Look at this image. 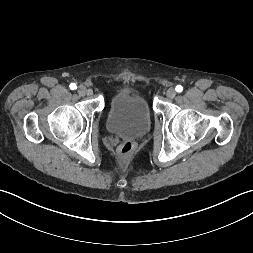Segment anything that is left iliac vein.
<instances>
[{
    "label": "left iliac vein",
    "instance_id": "1",
    "mask_svg": "<svg viewBox=\"0 0 253 253\" xmlns=\"http://www.w3.org/2000/svg\"><path fill=\"white\" fill-rule=\"evenodd\" d=\"M166 96L170 99H173L176 96V91L174 88H169L166 92Z\"/></svg>",
    "mask_w": 253,
    "mask_h": 253
}]
</instances>
